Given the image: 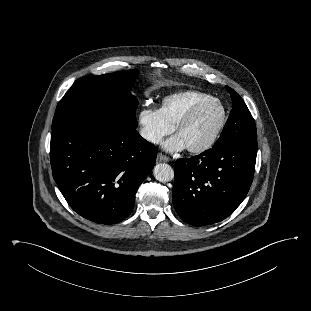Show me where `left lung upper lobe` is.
I'll return each mask as SVG.
<instances>
[{"label":"left lung upper lobe","instance_id":"1","mask_svg":"<svg viewBox=\"0 0 311 311\" xmlns=\"http://www.w3.org/2000/svg\"><path fill=\"white\" fill-rule=\"evenodd\" d=\"M226 89L231 95L233 108L220 138L213 147H221L239 140H257L255 122L245 102L232 88L226 86Z\"/></svg>","mask_w":311,"mask_h":311}]
</instances>
